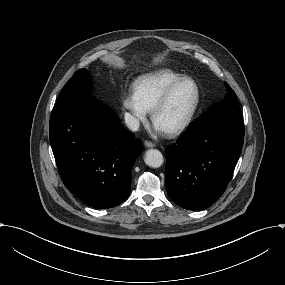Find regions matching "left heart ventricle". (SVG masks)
Instances as JSON below:
<instances>
[{
    "label": "left heart ventricle",
    "instance_id": "obj_1",
    "mask_svg": "<svg viewBox=\"0 0 285 285\" xmlns=\"http://www.w3.org/2000/svg\"><path fill=\"white\" fill-rule=\"evenodd\" d=\"M196 99V87L192 82L182 84L172 95L169 103L156 117L166 131L182 122L190 112Z\"/></svg>",
    "mask_w": 285,
    "mask_h": 285
}]
</instances>
